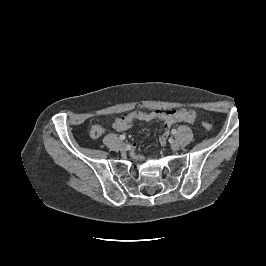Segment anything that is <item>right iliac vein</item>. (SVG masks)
Returning a JSON list of instances; mask_svg holds the SVG:
<instances>
[{
  "label": "right iliac vein",
  "instance_id": "obj_1",
  "mask_svg": "<svg viewBox=\"0 0 266 266\" xmlns=\"http://www.w3.org/2000/svg\"><path fill=\"white\" fill-rule=\"evenodd\" d=\"M119 147H120V150L124 151V150H126V148H127V143H126V142H121V143L119 144Z\"/></svg>",
  "mask_w": 266,
  "mask_h": 266
}]
</instances>
